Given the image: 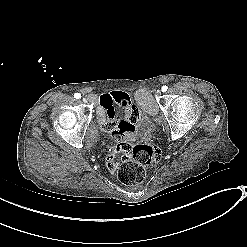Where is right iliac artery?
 <instances>
[{
	"instance_id": "obj_1",
	"label": "right iliac artery",
	"mask_w": 247,
	"mask_h": 247,
	"mask_svg": "<svg viewBox=\"0 0 247 247\" xmlns=\"http://www.w3.org/2000/svg\"><path fill=\"white\" fill-rule=\"evenodd\" d=\"M74 97H75L76 99H80V98H81V95H80L79 93H75V94H74Z\"/></svg>"
}]
</instances>
